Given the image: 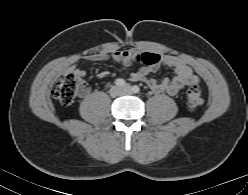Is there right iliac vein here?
<instances>
[{"label":"right iliac vein","instance_id":"63e3f726","mask_svg":"<svg viewBox=\"0 0 248 195\" xmlns=\"http://www.w3.org/2000/svg\"><path fill=\"white\" fill-rule=\"evenodd\" d=\"M122 93V90L121 88L117 87V86H113L111 89H110V94L111 96H118Z\"/></svg>","mask_w":248,"mask_h":195}]
</instances>
